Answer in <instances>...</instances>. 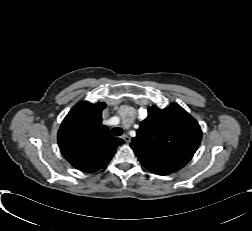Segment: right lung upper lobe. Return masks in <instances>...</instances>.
<instances>
[{"label":"right lung upper lobe","instance_id":"right-lung-upper-lobe-1","mask_svg":"<svg viewBox=\"0 0 252 231\" xmlns=\"http://www.w3.org/2000/svg\"><path fill=\"white\" fill-rule=\"evenodd\" d=\"M103 102H81L67 114L58 132L62 155L82 172H95L106 166L124 140L110 135L102 125Z\"/></svg>","mask_w":252,"mask_h":231}]
</instances>
